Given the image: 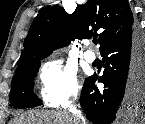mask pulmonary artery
Wrapping results in <instances>:
<instances>
[{
  "instance_id": "obj_1",
  "label": "pulmonary artery",
  "mask_w": 145,
  "mask_h": 124,
  "mask_svg": "<svg viewBox=\"0 0 145 124\" xmlns=\"http://www.w3.org/2000/svg\"><path fill=\"white\" fill-rule=\"evenodd\" d=\"M83 56H84V59L89 63H92L96 59L95 53L91 50L85 51Z\"/></svg>"
}]
</instances>
